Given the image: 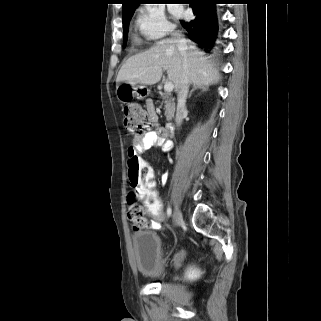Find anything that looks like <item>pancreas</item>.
<instances>
[{
    "label": "pancreas",
    "instance_id": "pancreas-1",
    "mask_svg": "<svg viewBox=\"0 0 321 321\" xmlns=\"http://www.w3.org/2000/svg\"><path fill=\"white\" fill-rule=\"evenodd\" d=\"M161 97L163 99L162 103H164L166 119H167V121H170L172 119V117L174 116L175 104L171 99L168 98V96L161 94Z\"/></svg>",
    "mask_w": 321,
    "mask_h": 321
}]
</instances>
